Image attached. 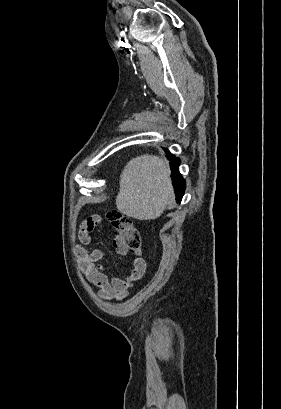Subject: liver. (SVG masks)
Segmentation results:
<instances>
[{
  "mask_svg": "<svg viewBox=\"0 0 281 409\" xmlns=\"http://www.w3.org/2000/svg\"><path fill=\"white\" fill-rule=\"evenodd\" d=\"M170 174L166 158L155 154L131 158L120 174L117 209L140 221L158 219L173 196Z\"/></svg>",
  "mask_w": 281,
  "mask_h": 409,
  "instance_id": "liver-1",
  "label": "liver"
}]
</instances>
